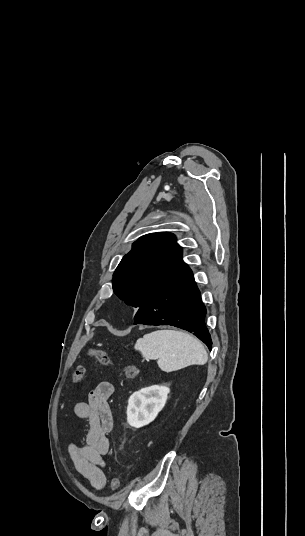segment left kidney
Masks as SVG:
<instances>
[{
  "mask_svg": "<svg viewBox=\"0 0 305 536\" xmlns=\"http://www.w3.org/2000/svg\"><path fill=\"white\" fill-rule=\"evenodd\" d=\"M170 390L166 386H150L134 392L128 400L127 422L133 428H142L155 420L166 404Z\"/></svg>",
  "mask_w": 305,
  "mask_h": 536,
  "instance_id": "1",
  "label": "left kidney"
}]
</instances>
